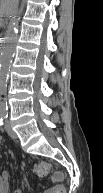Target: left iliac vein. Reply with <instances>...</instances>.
<instances>
[{
	"instance_id": "4c4485c4",
	"label": "left iliac vein",
	"mask_w": 103,
	"mask_h": 193,
	"mask_svg": "<svg viewBox=\"0 0 103 193\" xmlns=\"http://www.w3.org/2000/svg\"><path fill=\"white\" fill-rule=\"evenodd\" d=\"M5 128H6V131L8 133V135L13 138V139H16L17 138V135L16 133L13 131L9 121L6 122V125H5Z\"/></svg>"
}]
</instances>
